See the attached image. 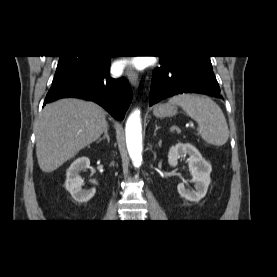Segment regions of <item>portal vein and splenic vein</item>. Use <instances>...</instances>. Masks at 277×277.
<instances>
[{"label": "portal vein and splenic vein", "mask_w": 277, "mask_h": 277, "mask_svg": "<svg viewBox=\"0 0 277 277\" xmlns=\"http://www.w3.org/2000/svg\"><path fill=\"white\" fill-rule=\"evenodd\" d=\"M192 125V124H191ZM177 128L176 127H172L171 128V131H174V130H176Z\"/></svg>", "instance_id": "obj_1"}]
</instances>
